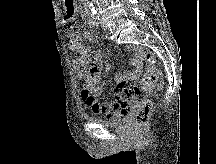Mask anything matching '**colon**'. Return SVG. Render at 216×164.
I'll return each instance as SVG.
<instances>
[{"instance_id":"colon-1","label":"colon","mask_w":216,"mask_h":164,"mask_svg":"<svg viewBox=\"0 0 216 164\" xmlns=\"http://www.w3.org/2000/svg\"><path fill=\"white\" fill-rule=\"evenodd\" d=\"M145 61L148 66V70L142 77L140 82L138 84H135L133 81H125L122 84V89L127 95H138L142 92L150 90L156 85L158 79L155 73V66L158 63V59L152 52H147L145 54ZM151 112L152 103L148 100L142 101L137 110L135 111L133 118L134 124L139 127L143 126L147 122Z\"/></svg>"}]
</instances>
